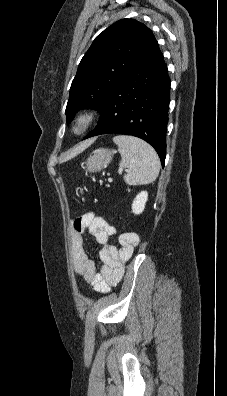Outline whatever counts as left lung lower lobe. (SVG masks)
<instances>
[{"mask_svg":"<svg viewBox=\"0 0 227 396\" xmlns=\"http://www.w3.org/2000/svg\"><path fill=\"white\" fill-rule=\"evenodd\" d=\"M169 93L168 70L157 45L108 97L100 122L84 139L111 133L139 137L154 147L164 166Z\"/></svg>","mask_w":227,"mask_h":396,"instance_id":"obj_1","label":"left lung lower lobe"}]
</instances>
